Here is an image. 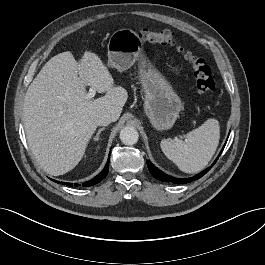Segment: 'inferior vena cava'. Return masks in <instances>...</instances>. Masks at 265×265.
Here are the masks:
<instances>
[{
    "label": "inferior vena cava",
    "mask_w": 265,
    "mask_h": 265,
    "mask_svg": "<svg viewBox=\"0 0 265 265\" xmlns=\"http://www.w3.org/2000/svg\"><path fill=\"white\" fill-rule=\"evenodd\" d=\"M113 121L114 117L107 112L100 113L95 117V123L98 126H107Z\"/></svg>",
    "instance_id": "obj_1"
}]
</instances>
